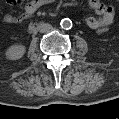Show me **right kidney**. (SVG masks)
<instances>
[{"instance_id": "ca27d5eb", "label": "right kidney", "mask_w": 119, "mask_h": 119, "mask_svg": "<svg viewBox=\"0 0 119 119\" xmlns=\"http://www.w3.org/2000/svg\"><path fill=\"white\" fill-rule=\"evenodd\" d=\"M25 51V46L21 44H15L7 50L6 55L10 60H17L24 55Z\"/></svg>"}]
</instances>
